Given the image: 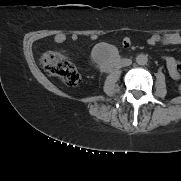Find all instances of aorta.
<instances>
[{"label": "aorta", "mask_w": 181, "mask_h": 181, "mask_svg": "<svg viewBox=\"0 0 181 181\" xmlns=\"http://www.w3.org/2000/svg\"><path fill=\"white\" fill-rule=\"evenodd\" d=\"M136 63L138 65H146L148 63V56L145 54H139L136 57Z\"/></svg>", "instance_id": "762f6f07"}]
</instances>
